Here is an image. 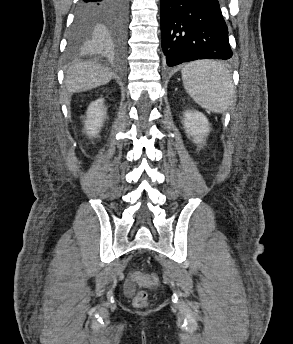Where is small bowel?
I'll return each mask as SVG.
<instances>
[{"mask_svg": "<svg viewBox=\"0 0 293 344\" xmlns=\"http://www.w3.org/2000/svg\"><path fill=\"white\" fill-rule=\"evenodd\" d=\"M134 291H135V284L129 278L125 284V292L127 295H132Z\"/></svg>", "mask_w": 293, "mask_h": 344, "instance_id": "small-bowel-1", "label": "small bowel"}]
</instances>
